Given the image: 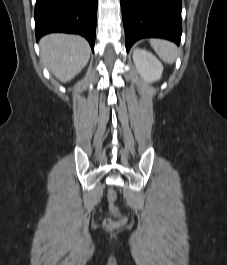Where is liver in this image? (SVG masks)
I'll list each match as a JSON object with an SVG mask.
<instances>
[{"instance_id": "1", "label": "liver", "mask_w": 227, "mask_h": 265, "mask_svg": "<svg viewBox=\"0 0 227 265\" xmlns=\"http://www.w3.org/2000/svg\"><path fill=\"white\" fill-rule=\"evenodd\" d=\"M45 66L61 82L72 80L88 63L90 46L78 35L49 34L40 40Z\"/></svg>"}]
</instances>
